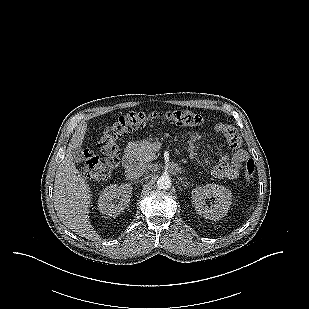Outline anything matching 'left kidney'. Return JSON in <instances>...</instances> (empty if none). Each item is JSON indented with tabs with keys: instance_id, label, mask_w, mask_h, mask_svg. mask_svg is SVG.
Here are the masks:
<instances>
[{
	"instance_id": "left-kidney-1",
	"label": "left kidney",
	"mask_w": 309,
	"mask_h": 309,
	"mask_svg": "<svg viewBox=\"0 0 309 309\" xmlns=\"http://www.w3.org/2000/svg\"><path fill=\"white\" fill-rule=\"evenodd\" d=\"M191 194L196 212L206 219L216 221L223 218L231 205L232 194L224 186L206 184L193 189ZM211 196L215 198V204L213 207H208L205 198Z\"/></svg>"
}]
</instances>
